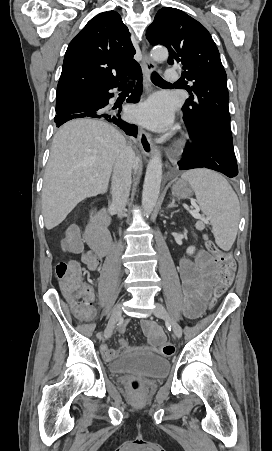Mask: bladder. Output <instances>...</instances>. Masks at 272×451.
Returning a JSON list of instances; mask_svg holds the SVG:
<instances>
[{
	"label": "bladder",
	"mask_w": 272,
	"mask_h": 451,
	"mask_svg": "<svg viewBox=\"0 0 272 451\" xmlns=\"http://www.w3.org/2000/svg\"><path fill=\"white\" fill-rule=\"evenodd\" d=\"M109 371L114 375L132 372L140 377H164L169 371V360L154 353L129 354L109 363Z\"/></svg>",
	"instance_id": "bladder-1"
}]
</instances>
